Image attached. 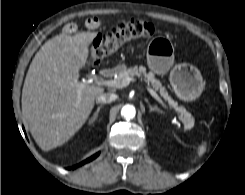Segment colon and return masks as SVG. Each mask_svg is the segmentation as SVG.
<instances>
[{
    "label": "colon",
    "instance_id": "5ec220e1",
    "mask_svg": "<svg viewBox=\"0 0 245 195\" xmlns=\"http://www.w3.org/2000/svg\"><path fill=\"white\" fill-rule=\"evenodd\" d=\"M155 33L153 24L132 19L118 23L109 34L97 37L90 47L88 65H96L133 40H147Z\"/></svg>",
    "mask_w": 245,
    "mask_h": 195
}]
</instances>
